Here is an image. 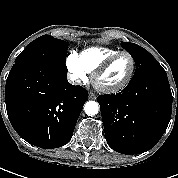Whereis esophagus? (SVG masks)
Returning <instances> with one entry per match:
<instances>
[{"label":"esophagus","instance_id":"esophagus-1","mask_svg":"<svg viewBox=\"0 0 178 178\" xmlns=\"http://www.w3.org/2000/svg\"><path fill=\"white\" fill-rule=\"evenodd\" d=\"M88 98H89V99H92V100H95V99L97 98V96H96L94 93H91V92H90V93L88 94Z\"/></svg>","mask_w":178,"mask_h":178}]
</instances>
